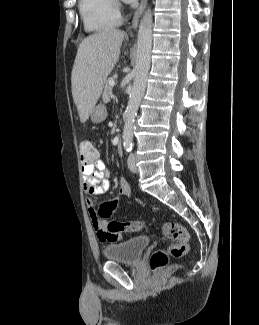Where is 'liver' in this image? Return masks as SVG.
<instances>
[{
    "instance_id": "obj_1",
    "label": "liver",
    "mask_w": 259,
    "mask_h": 325,
    "mask_svg": "<svg viewBox=\"0 0 259 325\" xmlns=\"http://www.w3.org/2000/svg\"><path fill=\"white\" fill-rule=\"evenodd\" d=\"M123 40V31L106 29L88 36L79 45L71 84L81 123L87 121L95 107L106 79L118 61Z\"/></svg>"
}]
</instances>
